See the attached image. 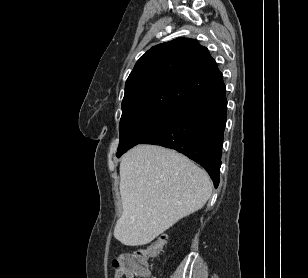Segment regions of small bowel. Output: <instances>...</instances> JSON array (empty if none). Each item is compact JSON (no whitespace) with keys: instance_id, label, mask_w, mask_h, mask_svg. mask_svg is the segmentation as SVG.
<instances>
[{"instance_id":"small-bowel-1","label":"small bowel","mask_w":308,"mask_h":278,"mask_svg":"<svg viewBox=\"0 0 308 278\" xmlns=\"http://www.w3.org/2000/svg\"><path fill=\"white\" fill-rule=\"evenodd\" d=\"M115 278H122V276L119 275V274H116V275H115ZM152 278H153V277H152Z\"/></svg>"}]
</instances>
